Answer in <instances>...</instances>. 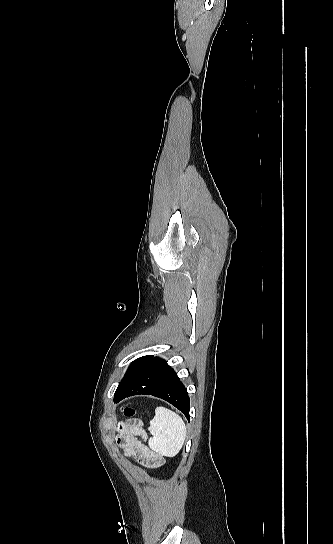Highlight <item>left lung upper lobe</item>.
Listing matches in <instances>:
<instances>
[{
    "label": "left lung upper lobe",
    "mask_w": 333,
    "mask_h": 544,
    "mask_svg": "<svg viewBox=\"0 0 333 544\" xmlns=\"http://www.w3.org/2000/svg\"><path fill=\"white\" fill-rule=\"evenodd\" d=\"M152 357L153 356L151 355H147L134 360L120 382L116 392L123 389Z\"/></svg>",
    "instance_id": "left-lung-upper-lobe-1"
}]
</instances>
